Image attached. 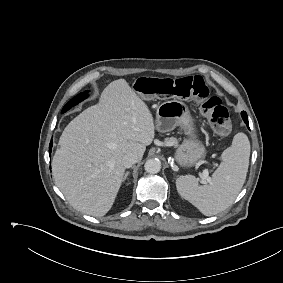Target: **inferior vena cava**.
Here are the masks:
<instances>
[{
	"instance_id": "602c4592",
	"label": "inferior vena cava",
	"mask_w": 283,
	"mask_h": 283,
	"mask_svg": "<svg viewBox=\"0 0 283 283\" xmlns=\"http://www.w3.org/2000/svg\"><path fill=\"white\" fill-rule=\"evenodd\" d=\"M138 162V156L135 153H127L122 158V164L125 168H129Z\"/></svg>"
}]
</instances>
